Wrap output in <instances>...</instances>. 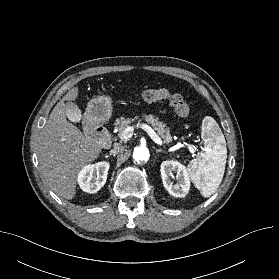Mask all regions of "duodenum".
Returning a JSON list of instances; mask_svg holds the SVG:
<instances>
[{
    "mask_svg": "<svg viewBox=\"0 0 279 279\" xmlns=\"http://www.w3.org/2000/svg\"><path fill=\"white\" fill-rule=\"evenodd\" d=\"M88 134L91 138L97 140L104 148H109L112 144L111 135L104 126H93L89 129Z\"/></svg>",
    "mask_w": 279,
    "mask_h": 279,
    "instance_id": "410a0bca",
    "label": "duodenum"
}]
</instances>
